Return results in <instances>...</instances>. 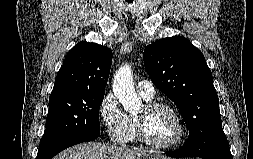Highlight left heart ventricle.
<instances>
[{
    "label": "left heart ventricle",
    "instance_id": "b2bd125f",
    "mask_svg": "<svg viewBox=\"0 0 253 159\" xmlns=\"http://www.w3.org/2000/svg\"><path fill=\"white\" fill-rule=\"evenodd\" d=\"M137 116L144 120L148 136L154 142L170 143L178 135V121L169 110L158 109L147 112L144 107Z\"/></svg>",
    "mask_w": 253,
    "mask_h": 159
}]
</instances>
